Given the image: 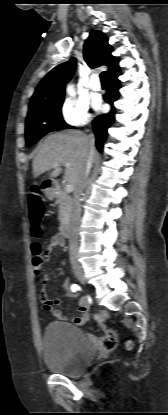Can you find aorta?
I'll return each instance as SVG.
<instances>
[{
  "mask_svg": "<svg viewBox=\"0 0 168 415\" xmlns=\"http://www.w3.org/2000/svg\"><path fill=\"white\" fill-rule=\"evenodd\" d=\"M68 92H69V94H70V95H73V94H74V92H73V89H72V88H69V89H68Z\"/></svg>",
  "mask_w": 168,
  "mask_h": 415,
  "instance_id": "1",
  "label": "aorta"
}]
</instances>
